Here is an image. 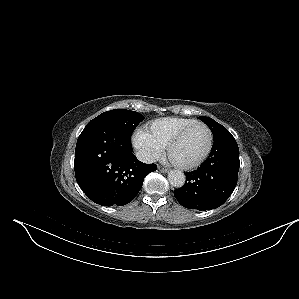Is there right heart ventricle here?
I'll list each match as a JSON object with an SVG mask.
<instances>
[{
    "mask_svg": "<svg viewBox=\"0 0 299 299\" xmlns=\"http://www.w3.org/2000/svg\"><path fill=\"white\" fill-rule=\"evenodd\" d=\"M197 122L195 119L183 117H164L149 122L146 131L162 146L183 128Z\"/></svg>",
    "mask_w": 299,
    "mask_h": 299,
    "instance_id": "obj_1",
    "label": "right heart ventricle"
}]
</instances>
